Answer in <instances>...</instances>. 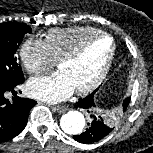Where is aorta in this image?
Returning a JSON list of instances; mask_svg holds the SVG:
<instances>
[{"instance_id": "aorta-1", "label": "aorta", "mask_w": 153, "mask_h": 153, "mask_svg": "<svg viewBox=\"0 0 153 153\" xmlns=\"http://www.w3.org/2000/svg\"><path fill=\"white\" fill-rule=\"evenodd\" d=\"M60 126L67 134H80L85 127V117L79 111H69L61 117Z\"/></svg>"}]
</instances>
